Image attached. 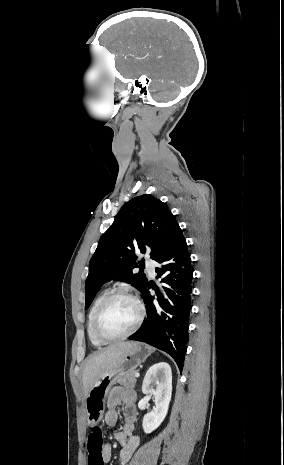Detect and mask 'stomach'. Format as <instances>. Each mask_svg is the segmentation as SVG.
<instances>
[{
    "label": "stomach",
    "instance_id": "obj_1",
    "mask_svg": "<svg viewBox=\"0 0 284 465\" xmlns=\"http://www.w3.org/2000/svg\"><path fill=\"white\" fill-rule=\"evenodd\" d=\"M153 353L152 347L144 343H133L132 349L125 353L120 365L116 369H111L106 375H101L94 383L87 397H85V415L88 427L98 425L103 419L106 399L109 391L117 381L118 375L132 373L138 365L145 363L147 357Z\"/></svg>",
    "mask_w": 284,
    "mask_h": 465
}]
</instances>
